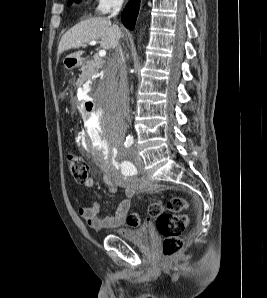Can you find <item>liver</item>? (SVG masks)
<instances>
[{
    "instance_id": "liver-1",
    "label": "liver",
    "mask_w": 267,
    "mask_h": 298,
    "mask_svg": "<svg viewBox=\"0 0 267 298\" xmlns=\"http://www.w3.org/2000/svg\"><path fill=\"white\" fill-rule=\"evenodd\" d=\"M121 36V29L116 24L112 25L109 18H89L79 22L62 36L57 53L59 55L66 50L82 47L92 40H100V46L103 49H112ZM83 53V51H77L69 54L67 58L80 59Z\"/></svg>"
}]
</instances>
